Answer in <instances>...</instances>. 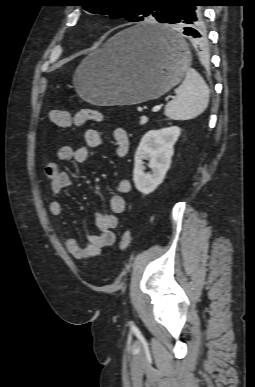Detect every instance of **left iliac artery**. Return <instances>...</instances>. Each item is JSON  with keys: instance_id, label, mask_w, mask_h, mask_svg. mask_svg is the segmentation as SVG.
Instances as JSON below:
<instances>
[{"instance_id": "1", "label": "left iliac artery", "mask_w": 255, "mask_h": 387, "mask_svg": "<svg viewBox=\"0 0 255 387\" xmlns=\"http://www.w3.org/2000/svg\"><path fill=\"white\" fill-rule=\"evenodd\" d=\"M131 327H132V328H134V327H135V326L133 325V323H132Z\"/></svg>"}]
</instances>
